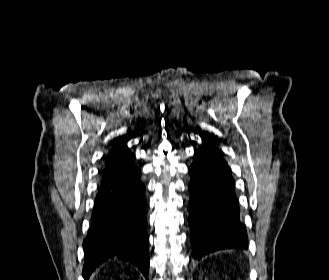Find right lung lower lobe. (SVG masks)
<instances>
[{
	"label": "right lung lower lobe",
	"mask_w": 329,
	"mask_h": 280,
	"mask_svg": "<svg viewBox=\"0 0 329 280\" xmlns=\"http://www.w3.org/2000/svg\"><path fill=\"white\" fill-rule=\"evenodd\" d=\"M145 186L133 163L107 166L94 202L91 229L83 241L85 280L108 259L137 266L148 280Z\"/></svg>",
	"instance_id": "right-lung-lower-lobe-1"
}]
</instances>
